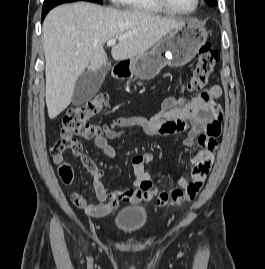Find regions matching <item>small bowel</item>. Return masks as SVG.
Returning <instances> with one entry per match:
<instances>
[{
	"label": "small bowel",
	"instance_id": "c3829d8e",
	"mask_svg": "<svg viewBox=\"0 0 265 269\" xmlns=\"http://www.w3.org/2000/svg\"><path fill=\"white\" fill-rule=\"evenodd\" d=\"M221 93V88L214 85L191 100L168 97L163 101L161 110L151 119L126 120L124 118H115L111 120V124H116L122 130L116 132L107 129L104 134L93 136L92 141L106 157L114 159L116 151L109 143V140L121 137L131 127H141L149 136L186 133L185 144L187 147L194 148L195 144L199 146V150L192 161V182L186 186V190L193 185L199 190L209 174L218 148L217 136L209 135L208 129L212 122L222 120V110L215 102V99L220 97ZM71 150L73 155L79 158L87 169L93 180L97 195L98 202L94 203L88 202L78 192L71 195L72 203L76 207L83 209L88 215L103 217L116 210L121 203L135 205L142 200L150 199L149 188L152 185V180L146 171V167L152 160L151 153L146 152L132 158L135 173L133 188L122 191L109 190L103 184L102 178L105 171L99 168L90 157L82 153L80 143L75 141Z\"/></svg>",
	"mask_w": 265,
	"mask_h": 269
}]
</instances>
